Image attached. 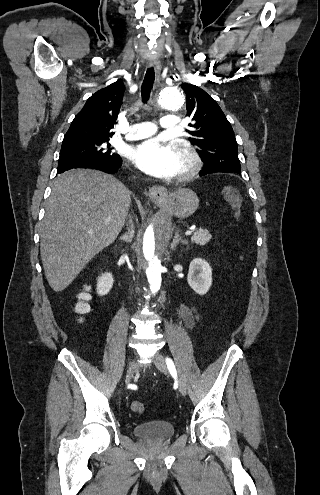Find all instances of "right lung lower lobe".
<instances>
[{"label":"right lung lower lobe","instance_id":"1","mask_svg":"<svg viewBox=\"0 0 320 495\" xmlns=\"http://www.w3.org/2000/svg\"><path fill=\"white\" fill-rule=\"evenodd\" d=\"M122 165L121 157L112 161H75L70 163H65L58 166L57 173H63L66 170L74 168H90L100 170L106 173H115L119 170Z\"/></svg>","mask_w":320,"mask_h":495}]
</instances>
